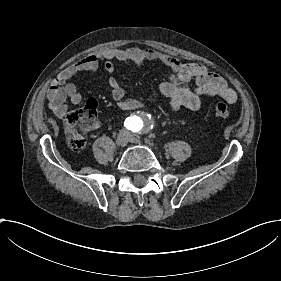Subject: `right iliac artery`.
<instances>
[{
	"instance_id": "obj_1",
	"label": "right iliac artery",
	"mask_w": 281,
	"mask_h": 281,
	"mask_svg": "<svg viewBox=\"0 0 281 281\" xmlns=\"http://www.w3.org/2000/svg\"><path fill=\"white\" fill-rule=\"evenodd\" d=\"M124 126H125L126 128H129V127H130V125L128 124V120H125Z\"/></svg>"
}]
</instances>
